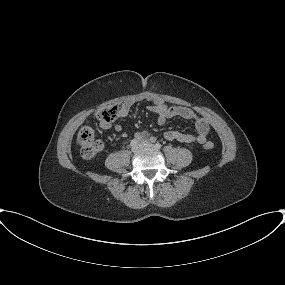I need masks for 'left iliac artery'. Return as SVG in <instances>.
Returning a JSON list of instances; mask_svg holds the SVG:
<instances>
[{
	"label": "left iliac artery",
	"mask_w": 285,
	"mask_h": 285,
	"mask_svg": "<svg viewBox=\"0 0 285 285\" xmlns=\"http://www.w3.org/2000/svg\"><path fill=\"white\" fill-rule=\"evenodd\" d=\"M150 141L153 142L152 140H150ZM155 147H156L157 149H160V148H161V144L157 142V143L155 144Z\"/></svg>",
	"instance_id": "left-iliac-artery-1"
}]
</instances>
